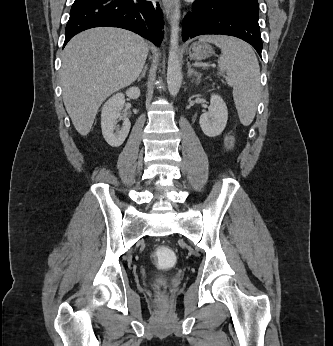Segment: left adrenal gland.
<instances>
[{"instance_id":"a2214340","label":"left adrenal gland","mask_w":333,"mask_h":346,"mask_svg":"<svg viewBox=\"0 0 333 346\" xmlns=\"http://www.w3.org/2000/svg\"><path fill=\"white\" fill-rule=\"evenodd\" d=\"M187 66H188V72H187L188 76L194 75L197 79V82H198L201 75L196 70L191 68L190 62H187Z\"/></svg>"}]
</instances>
